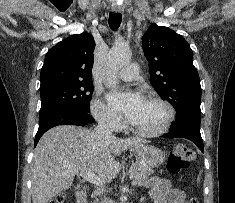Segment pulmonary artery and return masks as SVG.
Segmentation results:
<instances>
[{
    "label": "pulmonary artery",
    "mask_w": 235,
    "mask_h": 203,
    "mask_svg": "<svg viewBox=\"0 0 235 203\" xmlns=\"http://www.w3.org/2000/svg\"><path fill=\"white\" fill-rule=\"evenodd\" d=\"M117 76L124 81H131L138 76V65L136 63H130L121 69Z\"/></svg>",
    "instance_id": "pulmonary-artery-1"
}]
</instances>
